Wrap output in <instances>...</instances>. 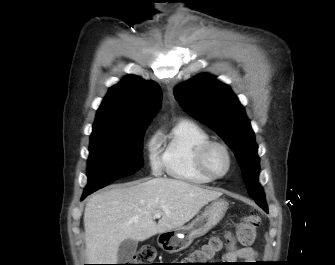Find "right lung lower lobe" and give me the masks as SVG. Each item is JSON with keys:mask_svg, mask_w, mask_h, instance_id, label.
Here are the masks:
<instances>
[{"mask_svg": "<svg viewBox=\"0 0 335 265\" xmlns=\"http://www.w3.org/2000/svg\"><path fill=\"white\" fill-rule=\"evenodd\" d=\"M87 195H89V194L83 193V196H82L81 200H83Z\"/></svg>", "mask_w": 335, "mask_h": 265, "instance_id": "right-lung-lower-lobe-1", "label": "right lung lower lobe"}]
</instances>
